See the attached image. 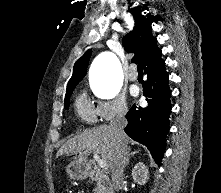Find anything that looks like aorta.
Here are the masks:
<instances>
[{"label": "aorta", "mask_w": 221, "mask_h": 193, "mask_svg": "<svg viewBox=\"0 0 221 193\" xmlns=\"http://www.w3.org/2000/svg\"><path fill=\"white\" fill-rule=\"evenodd\" d=\"M95 93L103 99L115 98L122 86V68L112 52L97 56L92 64Z\"/></svg>", "instance_id": "obj_1"}]
</instances>
